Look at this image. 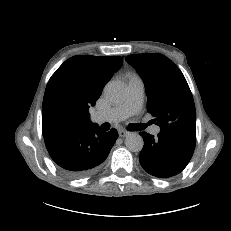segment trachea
<instances>
[{"instance_id": "1", "label": "trachea", "mask_w": 231, "mask_h": 231, "mask_svg": "<svg viewBox=\"0 0 231 231\" xmlns=\"http://www.w3.org/2000/svg\"><path fill=\"white\" fill-rule=\"evenodd\" d=\"M147 126L148 124H134V125H129L127 129L130 131H139L145 129Z\"/></svg>"}]
</instances>
